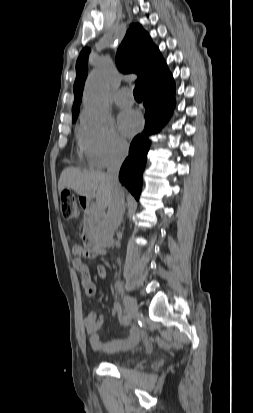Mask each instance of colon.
Wrapping results in <instances>:
<instances>
[{
    "label": "colon",
    "instance_id": "colon-1",
    "mask_svg": "<svg viewBox=\"0 0 253 413\" xmlns=\"http://www.w3.org/2000/svg\"><path fill=\"white\" fill-rule=\"evenodd\" d=\"M61 212L65 219H74L79 215L76 200L69 192L61 194Z\"/></svg>",
    "mask_w": 253,
    "mask_h": 413
}]
</instances>
